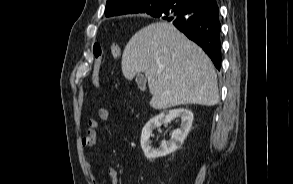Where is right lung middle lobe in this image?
Returning <instances> with one entry per match:
<instances>
[{"label": "right lung middle lobe", "instance_id": "1", "mask_svg": "<svg viewBox=\"0 0 293 184\" xmlns=\"http://www.w3.org/2000/svg\"><path fill=\"white\" fill-rule=\"evenodd\" d=\"M168 6L167 0H156L151 5L153 12L163 11Z\"/></svg>", "mask_w": 293, "mask_h": 184}]
</instances>
